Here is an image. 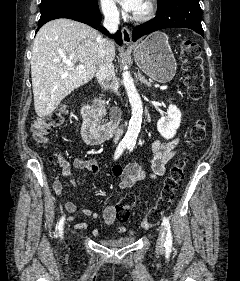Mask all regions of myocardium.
I'll list each match as a JSON object with an SVG mask.
<instances>
[{
    "label": "myocardium",
    "instance_id": "1",
    "mask_svg": "<svg viewBox=\"0 0 240 281\" xmlns=\"http://www.w3.org/2000/svg\"><path fill=\"white\" fill-rule=\"evenodd\" d=\"M155 13V0L145 1V10L141 13H135L133 19L138 22L148 21Z\"/></svg>",
    "mask_w": 240,
    "mask_h": 281
}]
</instances>
